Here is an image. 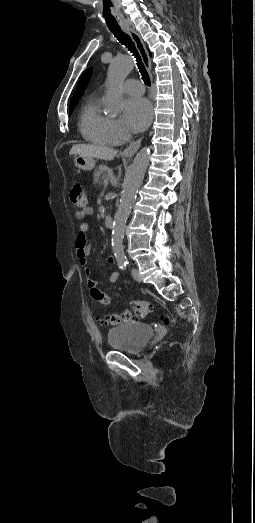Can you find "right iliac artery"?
Segmentation results:
<instances>
[{"label": "right iliac artery", "mask_w": 255, "mask_h": 523, "mask_svg": "<svg viewBox=\"0 0 255 523\" xmlns=\"http://www.w3.org/2000/svg\"><path fill=\"white\" fill-rule=\"evenodd\" d=\"M127 264H128V263H127L126 261H120V262L118 263L120 269H126Z\"/></svg>", "instance_id": "right-iliac-artery-1"}]
</instances>
